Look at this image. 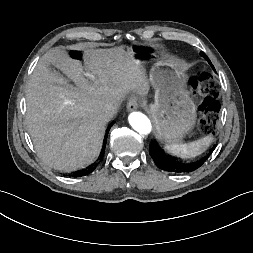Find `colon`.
Here are the masks:
<instances>
[{
    "mask_svg": "<svg viewBox=\"0 0 253 253\" xmlns=\"http://www.w3.org/2000/svg\"><path fill=\"white\" fill-rule=\"evenodd\" d=\"M73 55L77 56L78 53ZM193 89L203 99L199 129L205 135L213 134L216 131L220 112L216 83L209 73H202L193 82Z\"/></svg>",
    "mask_w": 253,
    "mask_h": 253,
    "instance_id": "5ec220e1",
    "label": "colon"
}]
</instances>
